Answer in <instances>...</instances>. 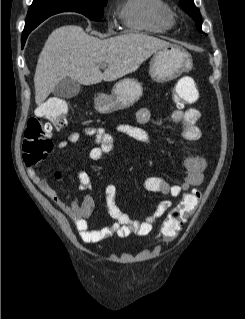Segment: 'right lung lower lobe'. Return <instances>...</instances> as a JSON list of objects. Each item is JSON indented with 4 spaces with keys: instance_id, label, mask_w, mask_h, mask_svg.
<instances>
[{
    "instance_id": "98d812e1",
    "label": "right lung lower lobe",
    "mask_w": 245,
    "mask_h": 319,
    "mask_svg": "<svg viewBox=\"0 0 245 319\" xmlns=\"http://www.w3.org/2000/svg\"><path fill=\"white\" fill-rule=\"evenodd\" d=\"M31 31H23V35H22V45L24 46V43L27 39V36L29 35Z\"/></svg>"
}]
</instances>
